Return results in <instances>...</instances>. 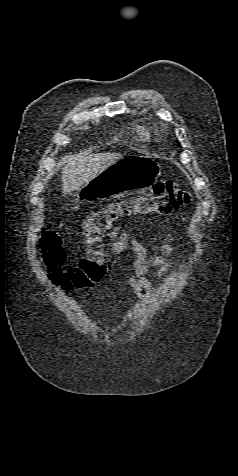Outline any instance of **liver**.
<instances>
[{"label":"liver","instance_id":"liver-1","mask_svg":"<svg viewBox=\"0 0 238 476\" xmlns=\"http://www.w3.org/2000/svg\"><path fill=\"white\" fill-rule=\"evenodd\" d=\"M122 158L121 154L98 153L89 156L71 155L63 158L62 191L70 194Z\"/></svg>","mask_w":238,"mask_h":476}]
</instances>
